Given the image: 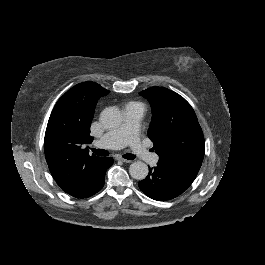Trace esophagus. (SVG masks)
Returning <instances> with one entry per match:
<instances>
[{
    "label": "esophagus",
    "instance_id": "1",
    "mask_svg": "<svg viewBox=\"0 0 265 265\" xmlns=\"http://www.w3.org/2000/svg\"><path fill=\"white\" fill-rule=\"evenodd\" d=\"M116 159H117V160H121V161H123V162H125V163H130V162H131V160L125 159V158H123L122 156H117Z\"/></svg>",
    "mask_w": 265,
    "mask_h": 265
}]
</instances>
